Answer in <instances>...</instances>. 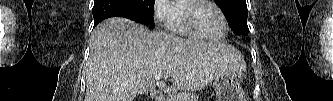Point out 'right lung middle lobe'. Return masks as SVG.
<instances>
[{
	"label": "right lung middle lobe",
	"mask_w": 333,
	"mask_h": 101,
	"mask_svg": "<svg viewBox=\"0 0 333 101\" xmlns=\"http://www.w3.org/2000/svg\"><path fill=\"white\" fill-rule=\"evenodd\" d=\"M142 16L144 23L154 26L153 10L155 0H130Z\"/></svg>",
	"instance_id": "dd1d6c3e"
}]
</instances>
